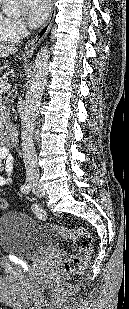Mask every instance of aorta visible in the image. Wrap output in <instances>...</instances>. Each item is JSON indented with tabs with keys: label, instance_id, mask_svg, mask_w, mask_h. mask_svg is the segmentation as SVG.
<instances>
[{
	"label": "aorta",
	"instance_id": "762f6f07",
	"mask_svg": "<svg viewBox=\"0 0 129 309\" xmlns=\"http://www.w3.org/2000/svg\"><path fill=\"white\" fill-rule=\"evenodd\" d=\"M4 2L6 15L18 16L20 14L23 0H4ZM49 60V49L47 47L41 48L36 55L27 91L21 105V147L25 158H36L33 134L47 81Z\"/></svg>",
	"mask_w": 129,
	"mask_h": 309
}]
</instances>
